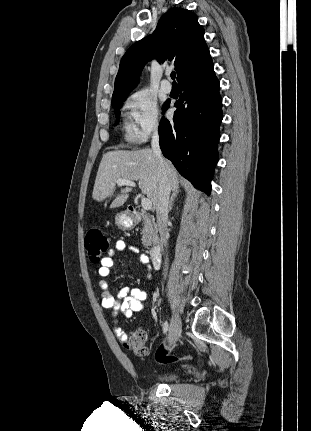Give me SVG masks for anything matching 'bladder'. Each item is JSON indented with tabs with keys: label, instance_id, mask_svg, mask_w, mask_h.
Masks as SVG:
<instances>
[{
	"label": "bladder",
	"instance_id": "1",
	"mask_svg": "<svg viewBox=\"0 0 311 431\" xmlns=\"http://www.w3.org/2000/svg\"><path fill=\"white\" fill-rule=\"evenodd\" d=\"M180 376H181L180 372L175 371V370H171V371L157 374L155 377L159 381L173 382V381L178 380L180 378Z\"/></svg>",
	"mask_w": 311,
	"mask_h": 431
}]
</instances>
